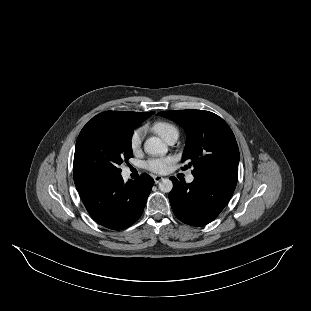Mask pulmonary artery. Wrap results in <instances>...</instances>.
Listing matches in <instances>:
<instances>
[{"label": "pulmonary artery", "mask_w": 311, "mask_h": 311, "mask_svg": "<svg viewBox=\"0 0 311 311\" xmlns=\"http://www.w3.org/2000/svg\"><path fill=\"white\" fill-rule=\"evenodd\" d=\"M176 141H177V138L173 137V138L169 139V140L167 141V143H168V144H174ZM193 181H194V176H193V175H189V176L187 177V182L191 183V182H193Z\"/></svg>", "instance_id": "pulmonary-artery-1"}]
</instances>
